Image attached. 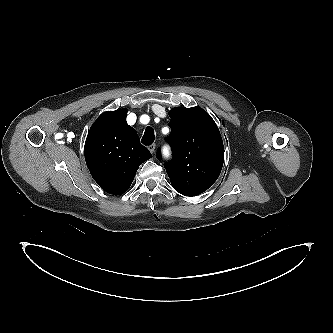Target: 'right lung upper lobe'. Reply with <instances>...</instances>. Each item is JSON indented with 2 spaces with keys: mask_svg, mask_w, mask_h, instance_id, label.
Wrapping results in <instances>:
<instances>
[{
  "mask_svg": "<svg viewBox=\"0 0 333 333\" xmlns=\"http://www.w3.org/2000/svg\"><path fill=\"white\" fill-rule=\"evenodd\" d=\"M126 117V108L101 114L85 142V160L92 177L113 195L127 191L139 165L152 157Z\"/></svg>",
  "mask_w": 333,
  "mask_h": 333,
  "instance_id": "right-lung-upper-lobe-1",
  "label": "right lung upper lobe"
}]
</instances>
